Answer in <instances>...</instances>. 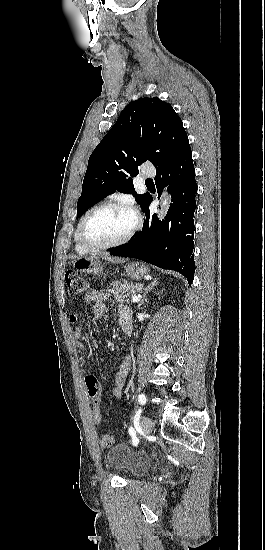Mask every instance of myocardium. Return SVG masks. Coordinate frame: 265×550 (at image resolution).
<instances>
[{
	"label": "myocardium",
	"instance_id": "f54148a6",
	"mask_svg": "<svg viewBox=\"0 0 265 550\" xmlns=\"http://www.w3.org/2000/svg\"><path fill=\"white\" fill-rule=\"evenodd\" d=\"M108 208L126 210L132 213L135 217L134 225L131 228V230L119 240L106 243V244L93 243L85 237V234H84L85 225L93 214H95L100 210L108 209ZM140 227H141V219L139 215L136 213V211L130 205L121 201H107L96 205L95 207L91 208L89 211L86 212V214L82 217V219L80 220L77 226V237L81 245L88 250H105V249L118 247L120 245L127 243L137 233Z\"/></svg>",
	"mask_w": 265,
	"mask_h": 550
}]
</instances>
